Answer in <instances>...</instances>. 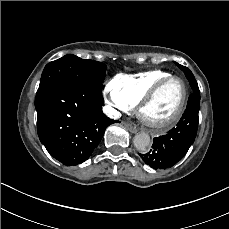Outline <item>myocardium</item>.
<instances>
[{"mask_svg":"<svg viewBox=\"0 0 229 229\" xmlns=\"http://www.w3.org/2000/svg\"><path fill=\"white\" fill-rule=\"evenodd\" d=\"M174 79H179L184 84L185 100H184L183 106L174 118H172L166 122H163V123H155L152 120H150L149 116L146 114V111H145L146 104L150 101L152 96L162 86H165L167 83H172ZM189 101H190V91H189L186 80L182 76H179V75H170V76H167L165 79L159 78L158 80L152 82L149 85L148 89L144 92V95L141 96L140 102L137 103V108L140 109L141 118H142L143 122L149 128H151L157 132H163V131H166L169 128L173 127L175 124H177L180 121V119L182 118V116L184 115V113L188 107Z\"/></svg>","mask_w":229,"mask_h":229,"instance_id":"1","label":"myocardium"}]
</instances>
